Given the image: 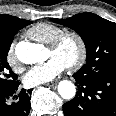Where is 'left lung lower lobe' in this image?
<instances>
[{
	"label": "left lung lower lobe",
	"mask_w": 116,
	"mask_h": 116,
	"mask_svg": "<svg viewBox=\"0 0 116 116\" xmlns=\"http://www.w3.org/2000/svg\"><path fill=\"white\" fill-rule=\"evenodd\" d=\"M76 96L63 105L65 116H116V73L87 78L76 72Z\"/></svg>",
	"instance_id": "0a47b994"
}]
</instances>
